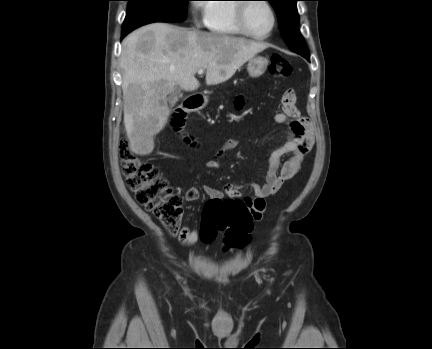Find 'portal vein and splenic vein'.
I'll list each match as a JSON object with an SVG mask.
<instances>
[{"label":"portal vein and splenic vein","instance_id":"18ae733b","mask_svg":"<svg viewBox=\"0 0 432 349\" xmlns=\"http://www.w3.org/2000/svg\"><path fill=\"white\" fill-rule=\"evenodd\" d=\"M203 73H204V70H203V69L198 70V74H199V75H202Z\"/></svg>","mask_w":432,"mask_h":349}]
</instances>
